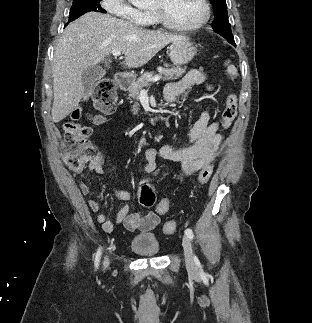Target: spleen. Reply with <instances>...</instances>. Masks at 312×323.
Here are the masks:
<instances>
[{"mask_svg":"<svg viewBox=\"0 0 312 323\" xmlns=\"http://www.w3.org/2000/svg\"><path fill=\"white\" fill-rule=\"evenodd\" d=\"M227 72L228 74H231V76H236L237 74L235 66H227Z\"/></svg>","mask_w":312,"mask_h":323,"instance_id":"obj_1","label":"spleen"}]
</instances>
